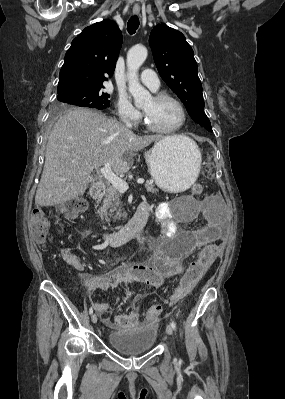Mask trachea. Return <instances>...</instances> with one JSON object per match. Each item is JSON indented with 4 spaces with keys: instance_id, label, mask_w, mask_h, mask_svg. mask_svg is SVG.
<instances>
[{
    "instance_id": "3493384b",
    "label": "trachea",
    "mask_w": 285,
    "mask_h": 399,
    "mask_svg": "<svg viewBox=\"0 0 285 399\" xmlns=\"http://www.w3.org/2000/svg\"><path fill=\"white\" fill-rule=\"evenodd\" d=\"M139 26V18L132 16L127 23V31L129 34H134Z\"/></svg>"
}]
</instances>
